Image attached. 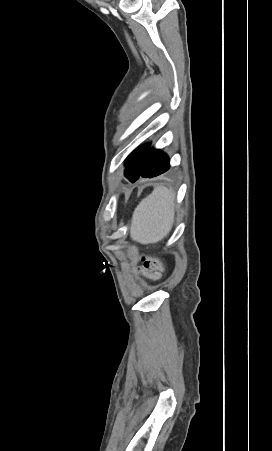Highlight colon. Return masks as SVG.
I'll return each mask as SVG.
<instances>
[{
  "label": "colon",
  "mask_w": 272,
  "mask_h": 451,
  "mask_svg": "<svg viewBox=\"0 0 272 451\" xmlns=\"http://www.w3.org/2000/svg\"><path fill=\"white\" fill-rule=\"evenodd\" d=\"M141 260L143 265L138 268V271L150 280L158 279L165 270L164 264L151 257L149 254L142 255Z\"/></svg>",
  "instance_id": "colon-1"
}]
</instances>
